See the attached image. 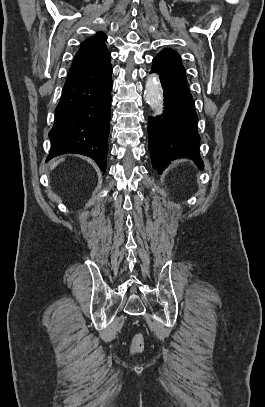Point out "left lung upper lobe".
I'll return each instance as SVG.
<instances>
[{
	"label": "left lung upper lobe",
	"instance_id": "left-lung-upper-lobe-1",
	"mask_svg": "<svg viewBox=\"0 0 265 407\" xmlns=\"http://www.w3.org/2000/svg\"><path fill=\"white\" fill-rule=\"evenodd\" d=\"M155 58L171 70L185 76V68L182 65L180 55L176 51L165 48Z\"/></svg>",
	"mask_w": 265,
	"mask_h": 407
}]
</instances>
